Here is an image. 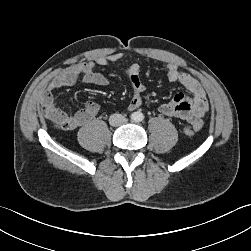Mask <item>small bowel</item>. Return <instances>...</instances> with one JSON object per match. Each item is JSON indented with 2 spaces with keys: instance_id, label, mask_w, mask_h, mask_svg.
I'll return each mask as SVG.
<instances>
[{
  "instance_id": "1",
  "label": "small bowel",
  "mask_w": 251,
  "mask_h": 251,
  "mask_svg": "<svg viewBox=\"0 0 251 251\" xmlns=\"http://www.w3.org/2000/svg\"><path fill=\"white\" fill-rule=\"evenodd\" d=\"M124 54L113 53L107 56H99L94 60L78 63L67 68L46 85L44 93L40 97L41 104L48 108L49 112L59 109L54 102V92L61 88L70 87L78 81L97 86H107L108 78L95 71L97 66H106L109 63L119 62L124 59ZM140 67L133 63L126 67L125 73L131 83L133 94L128 104L129 110H136L143 104L144 84L139 78ZM168 80L182 85L189 95L178 93L174 97L161 104L158 111L167 117L187 121L196 130L203 125V118L208 111L209 103L202 85L189 73L182 71L174 63L166 65ZM100 106L95 101H87L85 106L74 115V128L82 126L93 119L99 112ZM50 118V115L48 116Z\"/></svg>"
}]
</instances>
